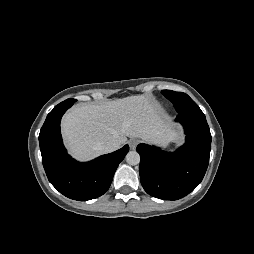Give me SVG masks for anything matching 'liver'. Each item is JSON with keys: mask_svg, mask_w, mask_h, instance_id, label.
I'll list each match as a JSON object with an SVG mask.
<instances>
[{"mask_svg": "<svg viewBox=\"0 0 254 254\" xmlns=\"http://www.w3.org/2000/svg\"><path fill=\"white\" fill-rule=\"evenodd\" d=\"M62 133L71 154L80 160L104 154L103 147L112 140L123 145L127 137H139L165 143L175 134L150 95L76 105L64 116Z\"/></svg>", "mask_w": 254, "mask_h": 254, "instance_id": "6515ba94", "label": "liver"}]
</instances>
